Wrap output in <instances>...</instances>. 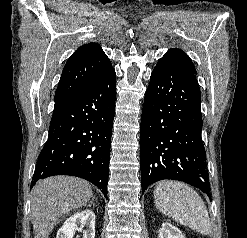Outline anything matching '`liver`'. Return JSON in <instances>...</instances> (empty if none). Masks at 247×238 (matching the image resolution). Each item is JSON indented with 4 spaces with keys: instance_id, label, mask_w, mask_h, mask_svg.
<instances>
[{
    "instance_id": "liver-1",
    "label": "liver",
    "mask_w": 247,
    "mask_h": 238,
    "mask_svg": "<svg viewBox=\"0 0 247 238\" xmlns=\"http://www.w3.org/2000/svg\"><path fill=\"white\" fill-rule=\"evenodd\" d=\"M93 193L80 178L54 176L40 181L32 190L31 221L35 238H48L62 215L85 206Z\"/></svg>"
}]
</instances>
